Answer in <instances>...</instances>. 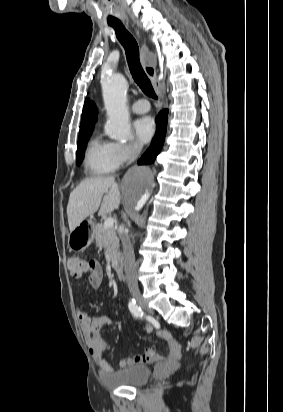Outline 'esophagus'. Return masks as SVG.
Wrapping results in <instances>:
<instances>
[{
	"instance_id": "1",
	"label": "esophagus",
	"mask_w": 283,
	"mask_h": 412,
	"mask_svg": "<svg viewBox=\"0 0 283 412\" xmlns=\"http://www.w3.org/2000/svg\"><path fill=\"white\" fill-rule=\"evenodd\" d=\"M136 33H137V35H139L138 31H136ZM140 54H141V62H142V66L144 68V71L147 74L148 78L153 83V85L155 86L157 94L161 97L162 93H161V90H160V83L157 80V72H156L155 62L152 61L148 57V47L144 43L141 45Z\"/></svg>"
}]
</instances>
